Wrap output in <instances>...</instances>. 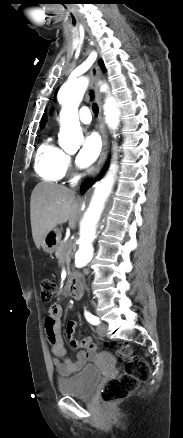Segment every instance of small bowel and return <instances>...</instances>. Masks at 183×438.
I'll use <instances>...</instances> for the list:
<instances>
[{
	"label": "small bowel",
	"instance_id": "obj_1",
	"mask_svg": "<svg viewBox=\"0 0 183 438\" xmlns=\"http://www.w3.org/2000/svg\"><path fill=\"white\" fill-rule=\"evenodd\" d=\"M61 317L62 307L59 304L51 305L45 319V332L51 345V353L55 357L53 359L55 369L61 376H69L81 370L94 359L97 346L89 338L77 340L74 336L76 322L69 321L65 327L66 338L73 348L80 349L75 361L71 360L67 356L61 336Z\"/></svg>",
	"mask_w": 183,
	"mask_h": 438
}]
</instances>
